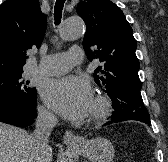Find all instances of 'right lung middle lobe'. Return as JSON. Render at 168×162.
Here are the masks:
<instances>
[{"instance_id":"dd1d6c3e","label":"right lung middle lobe","mask_w":168,"mask_h":162,"mask_svg":"<svg viewBox=\"0 0 168 162\" xmlns=\"http://www.w3.org/2000/svg\"><path fill=\"white\" fill-rule=\"evenodd\" d=\"M22 73L0 75V99H11L19 102L30 103L36 98V89L27 85L29 82L22 80Z\"/></svg>"}]
</instances>
